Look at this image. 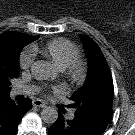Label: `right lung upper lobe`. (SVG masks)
Here are the masks:
<instances>
[{
	"instance_id": "1",
	"label": "right lung upper lobe",
	"mask_w": 135,
	"mask_h": 135,
	"mask_svg": "<svg viewBox=\"0 0 135 135\" xmlns=\"http://www.w3.org/2000/svg\"><path fill=\"white\" fill-rule=\"evenodd\" d=\"M38 37L26 35L19 32L7 31L0 35V75L9 72L16 56L13 53L15 43L20 40L35 41Z\"/></svg>"
}]
</instances>
